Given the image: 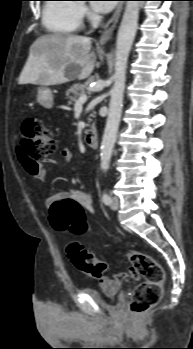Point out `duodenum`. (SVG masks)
Wrapping results in <instances>:
<instances>
[{"mask_svg": "<svg viewBox=\"0 0 193 349\" xmlns=\"http://www.w3.org/2000/svg\"><path fill=\"white\" fill-rule=\"evenodd\" d=\"M85 144L92 151L96 150L98 147V135L93 125L86 129Z\"/></svg>", "mask_w": 193, "mask_h": 349, "instance_id": "duodenum-1", "label": "duodenum"}]
</instances>
